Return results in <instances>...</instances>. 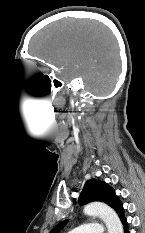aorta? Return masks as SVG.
<instances>
[{"label":"aorta","mask_w":145,"mask_h":233,"mask_svg":"<svg viewBox=\"0 0 145 233\" xmlns=\"http://www.w3.org/2000/svg\"><path fill=\"white\" fill-rule=\"evenodd\" d=\"M83 212L87 216H99L106 224L108 233H124L118 215L106 204L100 202L89 203L84 207Z\"/></svg>","instance_id":"1"}]
</instances>
